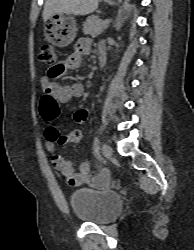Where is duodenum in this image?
<instances>
[{
  "mask_svg": "<svg viewBox=\"0 0 194 250\" xmlns=\"http://www.w3.org/2000/svg\"><path fill=\"white\" fill-rule=\"evenodd\" d=\"M106 62H107L106 54H105V52L102 51L99 54V65L101 67H104L106 65Z\"/></svg>",
  "mask_w": 194,
  "mask_h": 250,
  "instance_id": "410a0bca",
  "label": "duodenum"
}]
</instances>
